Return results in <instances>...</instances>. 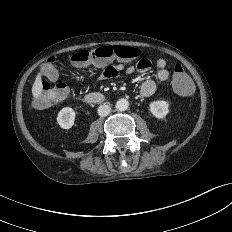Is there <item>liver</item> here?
I'll return each mask as SVG.
<instances>
[{
	"instance_id": "1",
	"label": "liver",
	"mask_w": 232,
	"mask_h": 232,
	"mask_svg": "<svg viewBox=\"0 0 232 232\" xmlns=\"http://www.w3.org/2000/svg\"><path fill=\"white\" fill-rule=\"evenodd\" d=\"M41 92H42V79H41V74L39 73L36 76V79L32 86V95L34 98H38Z\"/></svg>"
}]
</instances>
